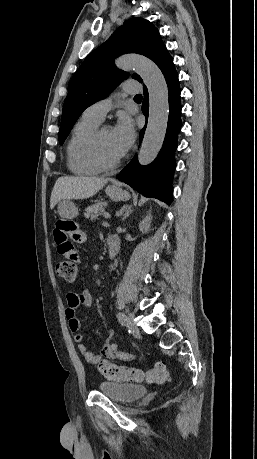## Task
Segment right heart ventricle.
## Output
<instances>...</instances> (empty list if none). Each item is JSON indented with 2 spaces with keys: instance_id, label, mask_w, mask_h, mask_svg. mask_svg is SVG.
I'll return each instance as SVG.
<instances>
[{
  "instance_id": "obj_1",
  "label": "right heart ventricle",
  "mask_w": 257,
  "mask_h": 459,
  "mask_svg": "<svg viewBox=\"0 0 257 459\" xmlns=\"http://www.w3.org/2000/svg\"><path fill=\"white\" fill-rule=\"evenodd\" d=\"M99 124V121L83 114L72 130L66 146V158L69 170L75 175L90 176L101 172L87 152L88 141Z\"/></svg>"
}]
</instances>
